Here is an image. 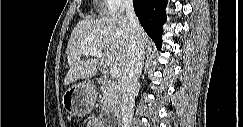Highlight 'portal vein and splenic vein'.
<instances>
[{"instance_id": "portal-vein-and-splenic-vein-1", "label": "portal vein and splenic vein", "mask_w": 243, "mask_h": 127, "mask_svg": "<svg viewBox=\"0 0 243 127\" xmlns=\"http://www.w3.org/2000/svg\"><path fill=\"white\" fill-rule=\"evenodd\" d=\"M86 55H91V56H95L97 58L103 59V54L100 50H96V49H90L85 51ZM110 75L113 78H118L121 76V70L118 67H112L110 69Z\"/></svg>"}]
</instances>
